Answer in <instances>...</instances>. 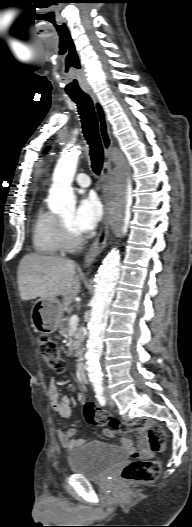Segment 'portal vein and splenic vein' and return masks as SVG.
Here are the masks:
<instances>
[{
    "instance_id": "18ae733b",
    "label": "portal vein and splenic vein",
    "mask_w": 192,
    "mask_h": 527,
    "mask_svg": "<svg viewBox=\"0 0 192 527\" xmlns=\"http://www.w3.org/2000/svg\"><path fill=\"white\" fill-rule=\"evenodd\" d=\"M78 322H79V317L78 315H72L70 317V326H77L78 325Z\"/></svg>"
}]
</instances>
